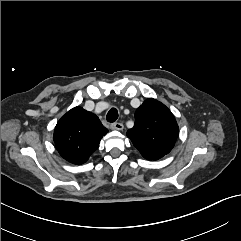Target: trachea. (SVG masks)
<instances>
[{
	"instance_id": "3493384b",
	"label": "trachea",
	"mask_w": 241,
	"mask_h": 241,
	"mask_svg": "<svg viewBox=\"0 0 241 241\" xmlns=\"http://www.w3.org/2000/svg\"><path fill=\"white\" fill-rule=\"evenodd\" d=\"M118 118V111L116 108H112L109 110L107 113L106 119L108 122L113 123L117 120Z\"/></svg>"
}]
</instances>
